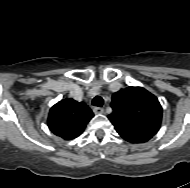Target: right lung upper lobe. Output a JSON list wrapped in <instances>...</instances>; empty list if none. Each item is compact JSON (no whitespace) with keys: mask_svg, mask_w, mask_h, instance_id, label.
Here are the masks:
<instances>
[{"mask_svg":"<svg viewBox=\"0 0 190 188\" xmlns=\"http://www.w3.org/2000/svg\"><path fill=\"white\" fill-rule=\"evenodd\" d=\"M94 116L92 110L83 102L65 99L56 103L49 112V129L64 140L78 137Z\"/></svg>","mask_w":190,"mask_h":188,"instance_id":"1","label":"right lung upper lobe"}]
</instances>
